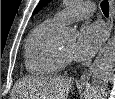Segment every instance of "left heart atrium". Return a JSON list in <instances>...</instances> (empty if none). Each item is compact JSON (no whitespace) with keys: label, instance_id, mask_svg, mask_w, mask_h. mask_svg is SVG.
<instances>
[{"label":"left heart atrium","instance_id":"39dd6f15","mask_svg":"<svg viewBox=\"0 0 115 99\" xmlns=\"http://www.w3.org/2000/svg\"><path fill=\"white\" fill-rule=\"evenodd\" d=\"M105 37V29L100 23H90L82 26L74 48V56L78 60L91 58L99 49Z\"/></svg>","mask_w":115,"mask_h":99}]
</instances>
